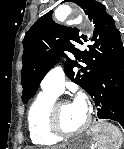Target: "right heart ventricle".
Masks as SVG:
<instances>
[{"instance_id": "1", "label": "right heart ventricle", "mask_w": 124, "mask_h": 149, "mask_svg": "<svg viewBox=\"0 0 124 149\" xmlns=\"http://www.w3.org/2000/svg\"><path fill=\"white\" fill-rule=\"evenodd\" d=\"M57 96L56 93L43 90L29 108L28 131L30 139L35 145L53 146L61 140L50 131L48 123L49 109Z\"/></svg>"}]
</instances>
